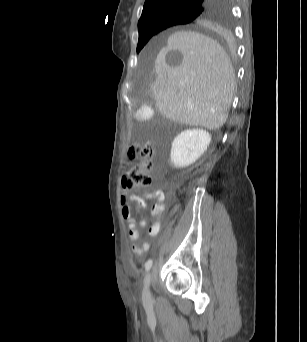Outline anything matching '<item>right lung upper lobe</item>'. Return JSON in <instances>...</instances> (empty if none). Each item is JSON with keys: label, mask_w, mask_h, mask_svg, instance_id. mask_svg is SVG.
<instances>
[{"label": "right lung upper lobe", "mask_w": 307, "mask_h": 342, "mask_svg": "<svg viewBox=\"0 0 307 342\" xmlns=\"http://www.w3.org/2000/svg\"><path fill=\"white\" fill-rule=\"evenodd\" d=\"M184 9L200 11L197 18L187 23L194 29L210 35L224 33L227 14L225 0H146L138 29L142 31L156 25L159 18L167 12Z\"/></svg>", "instance_id": "right-lung-upper-lobe-1"}]
</instances>
